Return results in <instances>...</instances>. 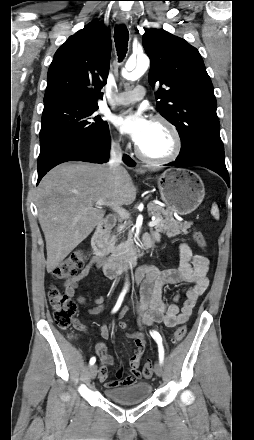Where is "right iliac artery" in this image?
Listing matches in <instances>:
<instances>
[{
	"label": "right iliac artery",
	"instance_id": "right-iliac-artery-1",
	"mask_svg": "<svg viewBox=\"0 0 254 440\" xmlns=\"http://www.w3.org/2000/svg\"><path fill=\"white\" fill-rule=\"evenodd\" d=\"M124 295H125V293H121L120 294L119 299H118V301H117V303H116V305H115V307L113 309V312H116L119 309V307L121 306V303L123 301ZM95 361H96V358L92 357L90 359V365H93L95 363Z\"/></svg>",
	"mask_w": 254,
	"mask_h": 440
}]
</instances>
